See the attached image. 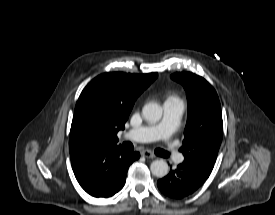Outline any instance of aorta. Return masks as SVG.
I'll use <instances>...</instances> for the list:
<instances>
[{"instance_id":"obj_1","label":"aorta","mask_w":275,"mask_h":215,"mask_svg":"<svg viewBox=\"0 0 275 215\" xmlns=\"http://www.w3.org/2000/svg\"><path fill=\"white\" fill-rule=\"evenodd\" d=\"M142 116L146 121L156 123L162 117V108L157 103H147L142 109ZM150 170L154 176L162 178L168 174L169 166L164 160H155L151 163Z\"/></svg>"}]
</instances>
